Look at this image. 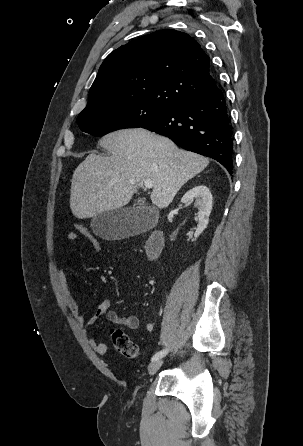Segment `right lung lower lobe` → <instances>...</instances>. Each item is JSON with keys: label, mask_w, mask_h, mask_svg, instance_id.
<instances>
[{"label": "right lung lower lobe", "mask_w": 303, "mask_h": 446, "mask_svg": "<svg viewBox=\"0 0 303 446\" xmlns=\"http://www.w3.org/2000/svg\"><path fill=\"white\" fill-rule=\"evenodd\" d=\"M142 128L165 135L178 146L213 158L233 173V137L223 91L191 94Z\"/></svg>", "instance_id": "right-lung-lower-lobe-1"}]
</instances>
